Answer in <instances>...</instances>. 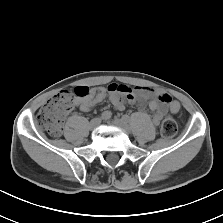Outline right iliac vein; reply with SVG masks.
I'll list each match as a JSON object with an SVG mask.
<instances>
[{"mask_svg": "<svg viewBox=\"0 0 223 223\" xmlns=\"http://www.w3.org/2000/svg\"><path fill=\"white\" fill-rule=\"evenodd\" d=\"M101 123V119L100 118H94L91 120L90 124H89V127L91 129L97 127L99 124Z\"/></svg>", "mask_w": 223, "mask_h": 223, "instance_id": "1", "label": "right iliac vein"}]
</instances>
